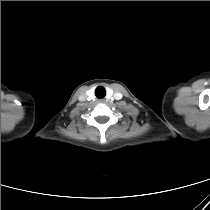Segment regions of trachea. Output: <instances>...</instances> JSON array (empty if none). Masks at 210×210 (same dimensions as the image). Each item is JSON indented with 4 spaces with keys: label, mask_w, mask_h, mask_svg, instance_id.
<instances>
[{
    "label": "trachea",
    "mask_w": 210,
    "mask_h": 210,
    "mask_svg": "<svg viewBox=\"0 0 210 210\" xmlns=\"http://www.w3.org/2000/svg\"><path fill=\"white\" fill-rule=\"evenodd\" d=\"M95 94L98 98H103L105 96V89L103 87H99L96 89Z\"/></svg>",
    "instance_id": "trachea-1"
}]
</instances>
